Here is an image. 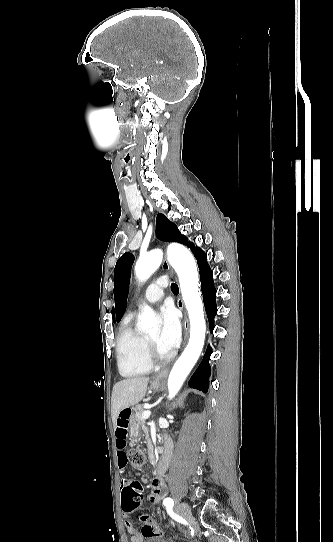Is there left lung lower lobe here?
Masks as SVG:
<instances>
[{
  "label": "left lung lower lobe",
  "mask_w": 333,
  "mask_h": 542,
  "mask_svg": "<svg viewBox=\"0 0 333 542\" xmlns=\"http://www.w3.org/2000/svg\"><path fill=\"white\" fill-rule=\"evenodd\" d=\"M194 256L198 261V267L200 269V280L202 283L201 287L203 293V300L209 320V326L212 330L214 316L217 313L215 303L216 290L213 283V273L208 266L207 255L200 248H198L194 252ZM211 353V350L208 348L202 362L200 363L199 367L189 381V385L192 388H196L205 393L208 391V378L210 373L208 359L210 358Z\"/></svg>",
  "instance_id": "left-lung-lower-lobe-1"
}]
</instances>
